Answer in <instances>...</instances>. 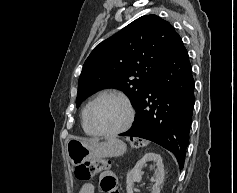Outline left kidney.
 Wrapping results in <instances>:
<instances>
[{"label":"left kidney","instance_id":"obj_1","mask_svg":"<svg viewBox=\"0 0 237 193\" xmlns=\"http://www.w3.org/2000/svg\"><path fill=\"white\" fill-rule=\"evenodd\" d=\"M154 162L156 164L155 184L152 187L151 193H160V186L164 181V165L159 154L147 153L135 165V167L127 174L126 190L127 193H133V184L140 181L142 178V168L147 162Z\"/></svg>","mask_w":237,"mask_h":193}]
</instances>
